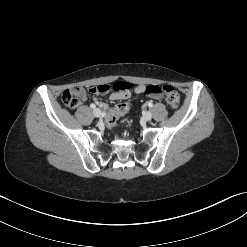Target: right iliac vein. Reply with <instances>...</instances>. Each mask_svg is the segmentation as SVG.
I'll list each match as a JSON object with an SVG mask.
<instances>
[{"mask_svg":"<svg viewBox=\"0 0 247 247\" xmlns=\"http://www.w3.org/2000/svg\"><path fill=\"white\" fill-rule=\"evenodd\" d=\"M93 114L95 117H100L102 115V112L100 109L96 108L93 110Z\"/></svg>","mask_w":247,"mask_h":247,"instance_id":"obj_1","label":"right iliac vein"}]
</instances>
